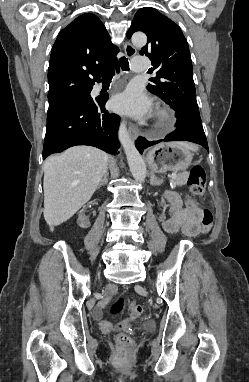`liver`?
<instances>
[{
    "label": "liver",
    "instance_id": "liver-1",
    "mask_svg": "<svg viewBox=\"0 0 249 382\" xmlns=\"http://www.w3.org/2000/svg\"><path fill=\"white\" fill-rule=\"evenodd\" d=\"M107 163L108 155L91 146H74L46 159L43 213L51 231L91 199L107 172Z\"/></svg>",
    "mask_w": 249,
    "mask_h": 382
}]
</instances>
